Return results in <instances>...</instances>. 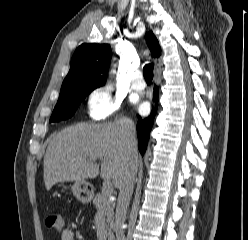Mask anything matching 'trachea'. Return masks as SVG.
Instances as JSON below:
<instances>
[{
    "mask_svg": "<svg viewBox=\"0 0 248 240\" xmlns=\"http://www.w3.org/2000/svg\"><path fill=\"white\" fill-rule=\"evenodd\" d=\"M154 65L152 63L146 64L143 68V75L147 83H151L153 79Z\"/></svg>",
    "mask_w": 248,
    "mask_h": 240,
    "instance_id": "trachea-1",
    "label": "trachea"
}]
</instances>
